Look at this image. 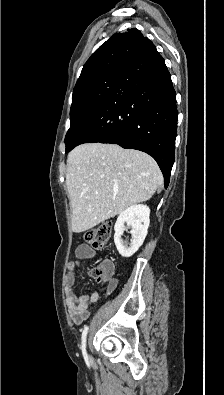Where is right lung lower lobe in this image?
<instances>
[{
	"label": "right lung lower lobe",
	"mask_w": 224,
	"mask_h": 395,
	"mask_svg": "<svg viewBox=\"0 0 224 395\" xmlns=\"http://www.w3.org/2000/svg\"><path fill=\"white\" fill-rule=\"evenodd\" d=\"M177 118L171 75L155 45L145 38L69 151L83 143L100 142L146 152L158 163L167 187L174 163Z\"/></svg>",
	"instance_id": "1"
}]
</instances>
